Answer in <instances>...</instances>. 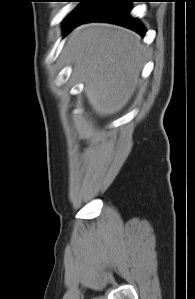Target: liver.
Segmentation results:
<instances>
[{"label": "liver", "instance_id": "liver-1", "mask_svg": "<svg viewBox=\"0 0 195 299\" xmlns=\"http://www.w3.org/2000/svg\"><path fill=\"white\" fill-rule=\"evenodd\" d=\"M145 54L146 47L136 33L105 23L77 27L63 49L100 117L114 115L127 105L138 86Z\"/></svg>", "mask_w": 195, "mask_h": 299}]
</instances>
